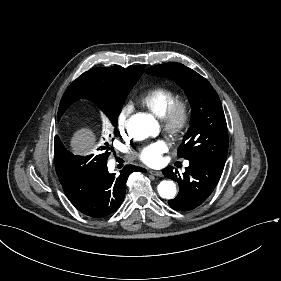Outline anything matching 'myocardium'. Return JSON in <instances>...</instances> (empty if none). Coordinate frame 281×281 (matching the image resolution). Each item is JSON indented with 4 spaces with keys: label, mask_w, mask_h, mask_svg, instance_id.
<instances>
[{
    "label": "myocardium",
    "mask_w": 281,
    "mask_h": 281,
    "mask_svg": "<svg viewBox=\"0 0 281 281\" xmlns=\"http://www.w3.org/2000/svg\"><path fill=\"white\" fill-rule=\"evenodd\" d=\"M162 128L171 136L184 132L190 122V109L183 99L175 100L161 117Z\"/></svg>",
    "instance_id": "myocardium-1"
}]
</instances>
